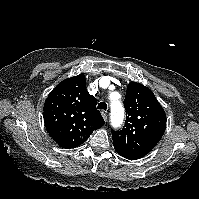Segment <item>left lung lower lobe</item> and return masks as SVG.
Wrapping results in <instances>:
<instances>
[{"mask_svg": "<svg viewBox=\"0 0 199 199\" xmlns=\"http://www.w3.org/2000/svg\"><path fill=\"white\" fill-rule=\"evenodd\" d=\"M117 151V153L119 154V155H121L122 157H124V158H126V159H130V160H136L137 158H134V157H132V156H129L128 154H125V153H123V152H121V151H119V150H116Z\"/></svg>", "mask_w": 199, "mask_h": 199, "instance_id": "left-lung-lower-lobe-1", "label": "left lung lower lobe"}]
</instances>
